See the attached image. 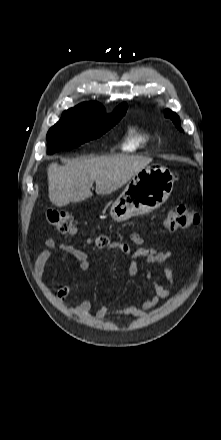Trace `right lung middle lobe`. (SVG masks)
I'll return each instance as SVG.
<instances>
[{"instance_id": "right-lung-middle-lobe-1", "label": "right lung middle lobe", "mask_w": 221, "mask_h": 440, "mask_svg": "<svg viewBox=\"0 0 221 440\" xmlns=\"http://www.w3.org/2000/svg\"><path fill=\"white\" fill-rule=\"evenodd\" d=\"M127 108L105 115L104 109L67 110L47 133L48 154L72 149L98 138L112 128L125 115Z\"/></svg>"}]
</instances>
